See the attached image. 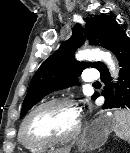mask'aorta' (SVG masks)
Here are the masks:
<instances>
[{"label": "aorta", "mask_w": 130, "mask_h": 153, "mask_svg": "<svg viewBox=\"0 0 130 153\" xmlns=\"http://www.w3.org/2000/svg\"><path fill=\"white\" fill-rule=\"evenodd\" d=\"M76 59L79 61H103L109 67L112 76L116 77L118 74L115 62L111 54L107 51H102L100 49H85L76 54Z\"/></svg>", "instance_id": "obj_1"}]
</instances>
